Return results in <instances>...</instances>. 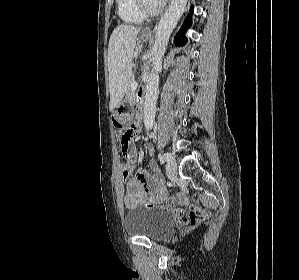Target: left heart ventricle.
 <instances>
[{
  "label": "left heart ventricle",
  "mask_w": 299,
  "mask_h": 280,
  "mask_svg": "<svg viewBox=\"0 0 299 280\" xmlns=\"http://www.w3.org/2000/svg\"><path fill=\"white\" fill-rule=\"evenodd\" d=\"M145 1L147 6L150 8H155L159 5L155 0H145Z\"/></svg>",
  "instance_id": "1"
}]
</instances>
